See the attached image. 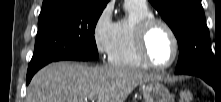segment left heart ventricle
<instances>
[{"label": "left heart ventricle", "instance_id": "obj_1", "mask_svg": "<svg viewBox=\"0 0 221 102\" xmlns=\"http://www.w3.org/2000/svg\"><path fill=\"white\" fill-rule=\"evenodd\" d=\"M148 53L151 60L159 65L170 62L174 45L170 34L162 26L155 27L148 38Z\"/></svg>", "mask_w": 221, "mask_h": 102}]
</instances>
